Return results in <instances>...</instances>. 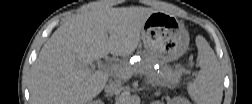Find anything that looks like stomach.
Returning <instances> with one entry per match:
<instances>
[{"instance_id":"stomach-1","label":"stomach","mask_w":252,"mask_h":104,"mask_svg":"<svg viewBox=\"0 0 252 104\" xmlns=\"http://www.w3.org/2000/svg\"><path fill=\"white\" fill-rule=\"evenodd\" d=\"M141 39L148 54L161 62H168L186 52L189 33L174 15L155 11L146 20Z\"/></svg>"}]
</instances>
